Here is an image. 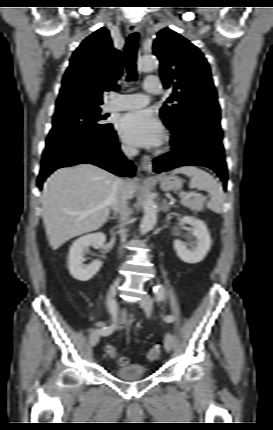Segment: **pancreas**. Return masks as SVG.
Segmentation results:
<instances>
[{"label":"pancreas","mask_w":273,"mask_h":430,"mask_svg":"<svg viewBox=\"0 0 273 430\" xmlns=\"http://www.w3.org/2000/svg\"><path fill=\"white\" fill-rule=\"evenodd\" d=\"M203 202H204V198H195V199L187 198L182 201V204L185 207L190 208L191 210L200 212L204 209Z\"/></svg>","instance_id":"1"}]
</instances>
